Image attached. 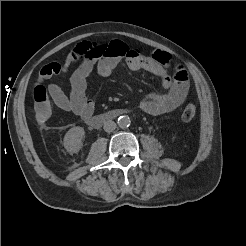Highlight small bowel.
<instances>
[{
  "label": "small bowel",
  "instance_id": "1",
  "mask_svg": "<svg viewBox=\"0 0 246 246\" xmlns=\"http://www.w3.org/2000/svg\"><path fill=\"white\" fill-rule=\"evenodd\" d=\"M167 63L155 59L130 47L127 43L113 40L108 42H83L75 46L62 64L50 63L40 70L37 85L61 74L68 73L71 91L66 95L60 85H48L53 106L61 111L71 112L87 119L95 109L94 101L86 97L87 78L94 68L101 77H108L124 60L132 71H146L161 80L162 91L151 93L138 102V109L151 116H160L177 109L186 99L189 90L188 74L185 68L172 62L171 56L157 51ZM169 68L173 74H169Z\"/></svg>",
  "mask_w": 246,
  "mask_h": 246
}]
</instances>
